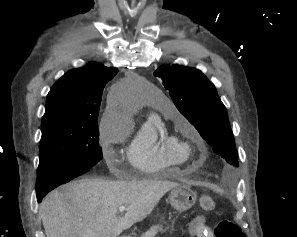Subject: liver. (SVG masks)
Masks as SVG:
<instances>
[{
    "label": "liver",
    "instance_id": "6515ba94",
    "mask_svg": "<svg viewBox=\"0 0 297 237\" xmlns=\"http://www.w3.org/2000/svg\"><path fill=\"white\" fill-rule=\"evenodd\" d=\"M170 181L81 180L50 192L39 210L46 237H118L143 221L169 190ZM126 213L117 217L118 208Z\"/></svg>",
    "mask_w": 297,
    "mask_h": 237
}]
</instances>
